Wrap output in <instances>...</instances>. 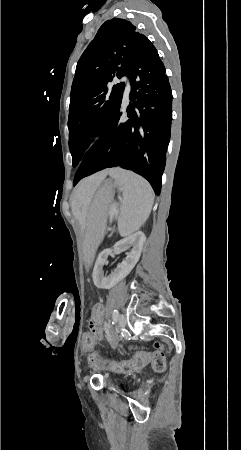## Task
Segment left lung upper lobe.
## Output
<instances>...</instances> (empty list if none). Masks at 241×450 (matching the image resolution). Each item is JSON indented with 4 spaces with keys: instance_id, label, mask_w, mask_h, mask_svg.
Returning <instances> with one entry per match:
<instances>
[{
    "instance_id": "left-lung-upper-lobe-1",
    "label": "left lung upper lobe",
    "mask_w": 241,
    "mask_h": 450,
    "mask_svg": "<svg viewBox=\"0 0 241 450\" xmlns=\"http://www.w3.org/2000/svg\"><path fill=\"white\" fill-rule=\"evenodd\" d=\"M153 44L129 21L111 19L98 30L81 55L70 95L68 120L73 166L88 147V135L100 129L121 103L125 84H111L126 75L131 60Z\"/></svg>"
}]
</instances>
